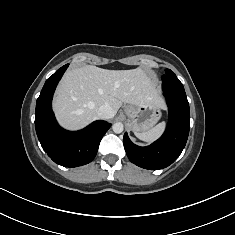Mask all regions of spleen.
I'll list each match as a JSON object with an SVG mask.
<instances>
[{
    "mask_svg": "<svg viewBox=\"0 0 235 235\" xmlns=\"http://www.w3.org/2000/svg\"><path fill=\"white\" fill-rule=\"evenodd\" d=\"M165 126H166V123L161 122L157 124L155 127L149 129L148 131L135 133V135L140 140L151 143L157 140L162 135V133L165 130Z\"/></svg>",
    "mask_w": 235,
    "mask_h": 235,
    "instance_id": "1",
    "label": "spleen"
}]
</instances>
